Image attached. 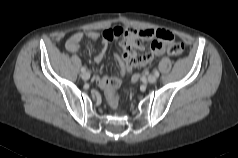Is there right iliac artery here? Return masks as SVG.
I'll use <instances>...</instances> for the list:
<instances>
[{"mask_svg":"<svg viewBox=\"0 0 238 158\" xmlns=\"http://www.w3.org/2000/svg\"><path fill=\"white\" fill-rule=\"evenodd\" d=\"M81 71H82V72H85V71H86V68H85V67H82V68H81Z\"/></svg>","mask_w":238,"mask_h":158,"instance_id":"obj_1","label":"right iliac artery"}]
</instances>
